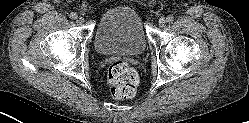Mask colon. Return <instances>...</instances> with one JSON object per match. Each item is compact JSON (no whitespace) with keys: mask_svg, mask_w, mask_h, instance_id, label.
Returning a JSON list of instances; mask_svg holds the SVG:
<instances>
[{"mask_svg":"<svg viewBox=\"0 0 249 123\" xmlns=\"http://www.w3.org/2000/svg\"><path fill=\"white\" fill-rule=\"evenodd\" d=\"M139 77L125 61L116 60L108 68L107 84L111 95L116 99H129L134 96Z\"/></svg>","mask_w":249,"mask_h":123,"instance_id":"1","label":"colon"}]
</instances>
